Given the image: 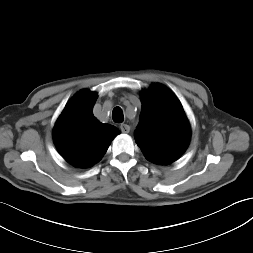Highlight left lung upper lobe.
<instances>
[{
	"label": "left lung upper lobe",
	"instance_id": "left-lung-upper-lobe-1",
	"mask_svg": "<svg viewBox=\"0 0 253 253\" xmlns=\"http://www.w3.org/2000/svg\"><path fill=\"white\" fill-rule=\"evenodd\" d=\"M141 95L142 109L135 141L149 161L170 164L185 152L190 141V126L183 107L161 84H153Z\"/></svg>",
	"mask_w": 253,
	"mask_h": 253
}]
</instances>
